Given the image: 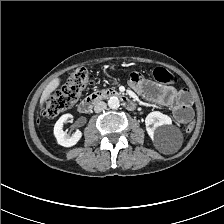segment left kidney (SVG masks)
Instances as JSON below:
<instances>
[{"label":"left kidney","instance_id":"1","mask_svg":"<svg viewBox=\"0 0 224 224\" xmlns=\"http://www.w3.org/2000/svg\"><path fill=\"white\" fill-rule=\"evenodd\" d=\"M171 124V118L159 111L151 112L145 118L146 131L148 135L153 141L156 140L161 144L167 143L169 140L162 127Z\"/></svg>","mask_w":224,"mask_h":224}]
</instances>
